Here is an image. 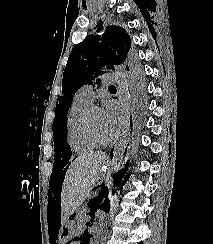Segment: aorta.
Segmentation results:
<instances>
[{
    "instance_id": "obj_1",
    "label": "aorta",
    "mask_w": 213,
    "mask_h": 244,
    "mask_svg": "<svg viewBox=\"0 0 213 244\" xmlns=\"http://www.w3.org/2000/svg\"><path fill=\"white\" fill-rule=\"evenodd\" d=\"M118 74V94L120 101L118 123L119 128L114 142V151L112 157V175H116L123 164L124 153L128 146L131 135V106H130V92L129 81L125 73L117 71ZM113 178L111 177L108 182V188L111 187ZM95 244H99V240L95 241Z\"/></svg>"
}]
</instances>
